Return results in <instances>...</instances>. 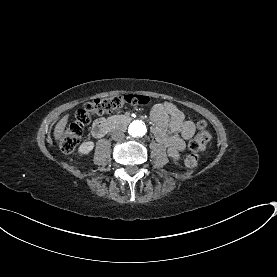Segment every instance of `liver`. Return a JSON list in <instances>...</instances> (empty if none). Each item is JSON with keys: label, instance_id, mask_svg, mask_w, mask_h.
I'll return each instance as SVG.
<instances>
[{"label": "liver", "instance_id": "liver-1", "mask_svg": "<svg viewBox=\"0 0 277 277\" xmlns=\"http://www.w3.org/2000/svg\"><path fill=\"white\" fill-rule=\"evenodd\" d=\"M69 115H65L55 126L54 137L59 140L64 132V128L67 125Z\"/></svg>", "mask_w": 277, "mask_h": 277}]
</instances>
